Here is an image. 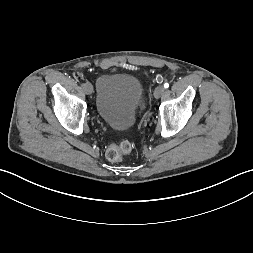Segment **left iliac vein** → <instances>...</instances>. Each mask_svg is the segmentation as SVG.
<instances>
[{"label": "left iliac vein", "instance_id": "1", "mask_svg": "<svg viewBox=\"0 0 253 253\" xmlns=\"http://www.w3.org/2000/svg\"><path fill=\"white\" fill-rule=\"evenodd\" d=\"M164 91L165 88L162 85L156 87L154 91V97L157 99L160 98L163 95Z\"/></svg>", "mask_w": 253, "mask_h": 253}]
</instances>
